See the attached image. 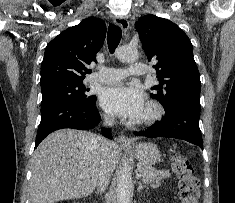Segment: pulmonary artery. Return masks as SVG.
<instances>
[{
  "instance_id": "pulmonary-artery-1",
  "label": "pulmonary artery",
  "mask_w": 235,
  "mask_h": 203,
  "mask_svg": "<svg viewBox=\"0 0 235 203\" xmlns=\"http://www.w3.org/2000/svg\"><path fill=\"white\" fill-rule=\"evenodd\" d=\"M146 67L142 63H132L127 69L103 67L91 76V80L98 83H115L128 75H143Z\"/></svg>"
}]
</instances>
